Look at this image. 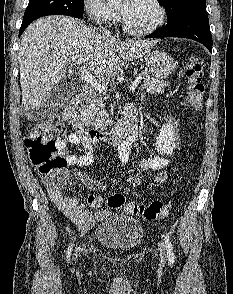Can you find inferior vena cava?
I'll return each instance as SVG.
<instances>
[{
	"instance_id": "602c4592",
	"label": "inferior vena cava",
	"mask_w": 233,
	"mask_h": 294,
	"mask_svg": "<svg viewBox=\"0 0 233 294\" xmlns=\"http://www.w3.org/2000/svg\"><path fill=\"white\" fill-rule=\"evenodd\" d=\"M103 35L104 37H111L110 32L106 29H103Z\"/></svg>"
}]
</instances>
